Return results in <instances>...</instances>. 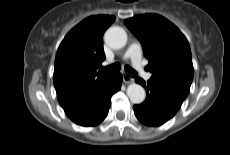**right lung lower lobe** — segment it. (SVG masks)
Instances as JSON below:
<instances>
[{
	"label": "right lung lower lobe",
	"mask_w": 230,
	"mask_h": 155,
	"mask_svg": "<svg viewBox=\"0 0 230 155\" xmlns=\"http://www.w3.org/2000/svg\"><path fill=\"white\" fill-rule=\"evenodd\" d=\"M122 75H115L87 99L74 105L64 107L66 115L82 126H95L101 123L108 114L112 95L120 90Z\"/></svg>",
	"instance_id": "1"
}]
</instances>
